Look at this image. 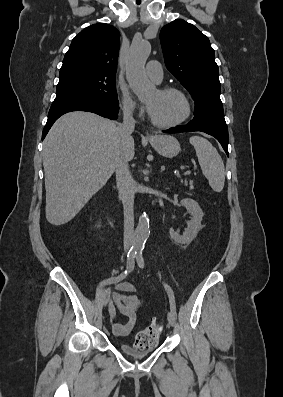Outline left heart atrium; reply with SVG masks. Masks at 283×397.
<instances>
[{
	"label": "left heart atrium",
	"mask_w": 283,
	"mask_h": 397,
	"mask_svg": "<svg viewBox=\"0 0 283 397\" xmlns=\"http://www.w3.org/2000/svg\"><path fill=\"white\" fill-rule=\"evenodd\" d=\"M147 110L149 111V113L151 112V106L147 104Z\"/></svg>",
	"instance_id": "left-heart-atrium-1"
}]
</instances>
